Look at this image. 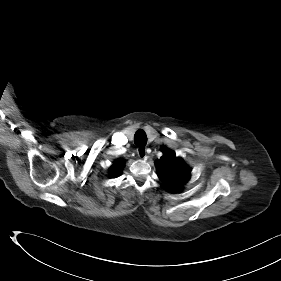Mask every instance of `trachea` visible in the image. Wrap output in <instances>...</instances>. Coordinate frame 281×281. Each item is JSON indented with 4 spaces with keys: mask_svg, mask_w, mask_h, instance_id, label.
<instances>
[{
    "mask_svg": "<svg viewBox=\"0 0 281 281\" xmlns=\"http://www.w3.org/2000/svg\"><path fill=\"white\" fill-rule=\"evenodd\" d=\"M134 143L137 146H145L147 143V136L143 130H138L134 136Z\"/></svg>",
    "mask_w": 281,
    "mask_h": 281,
    "instance_id": "trachea-1",
    "label": "trachea"
}]
</instances>
